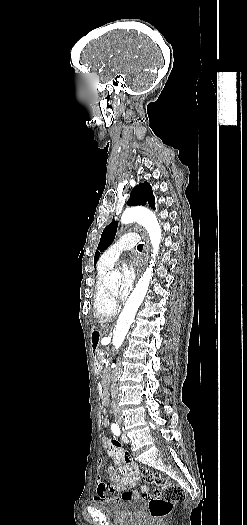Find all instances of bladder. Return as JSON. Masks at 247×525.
<instances>
[{
	"mask_svg": "<svg viewBox=\"0 0 247 525\" xmlns=\"http://www.w3.org/2000/svg\"><path fill=\"white\" fill-rule=\"evenodd\" d=\"M92 505L107 517L125 518L141 512L143 499L104 498L93 501Z\"/></svg>",
	"mask_w": 247,
	"mask_h": 525,
	"instance_id": "31cf9c89",
	"label": "bladder"
}]
</instances>
